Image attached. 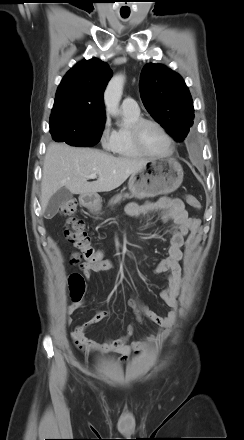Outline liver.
Wrapping results in <instances>:
<instances>
[{"instance_id": "obj_1", "label": "liver", "mask_w": 244, "mask_h": 440, "mask_svg": "<svg viewBox=\"0 0 244 440\" xmlns=\"http://www.w3.org/2000/svg\"><path fill=\"white\" fill-rule=\"evenodd\" d=\"M147 162V159L114 157L92 148L52 143L47 148L43 164L42 211L46 210L50 198L62 187L79 195L109 192L140 171ZM91 174H96L98 179L88 182L87 177Z\"/></svg>"}]
</instances>
